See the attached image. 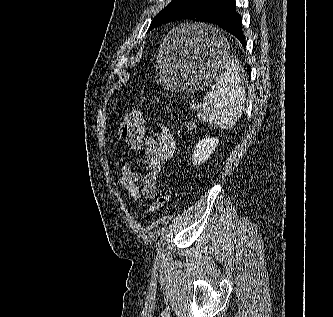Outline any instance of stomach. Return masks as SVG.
<instances>
[{
  "label": "stomach",
  "instance_id": "0dacf381",
  "mask_svg": "<svg viewBox=\"0 0 333 317\" xmlns=\"http://www.w3.org/2000/svg\"><path fill=\"white\" fill-rule=\"evenodd\" d=\"M214 24H181L170 31L156 56L157 81L165 95H204V89L217 81V74H227L230 62L238 55L230 52V41Z\"/></svg>",
  "mask_w": 333,
  "mask_h": 317
}]
</instances>
